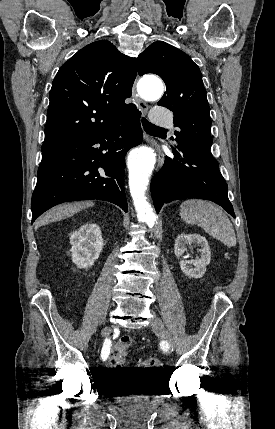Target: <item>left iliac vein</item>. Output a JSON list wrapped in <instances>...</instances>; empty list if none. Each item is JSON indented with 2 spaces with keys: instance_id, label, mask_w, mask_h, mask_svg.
I'll use <instances>...</instances> for the list:
<instances>
[{
  "instance_id": "4c4485c4",
  "label": "left iliac vein",
  "mask_w": 275,
  "mask_h": 429,
  "mask_svg": "<svg viewBox=\"0 0 275 429\" xmlns=\"http://www.w3.org/2000/svg\"><path fill=\"white\" fill-rule=\"evenodd\" d=\"M152 329L155 332V334L162 339L163 342L166 343V346L170 351H173V338L171 337L170 333L164 326L163 322L160 318L154 317L152 320Z\"/></svg>"
}]
</instances>
